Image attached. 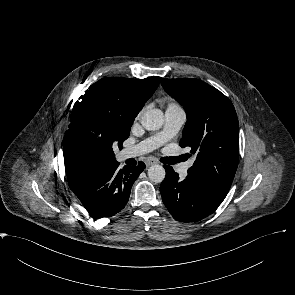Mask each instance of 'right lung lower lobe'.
Instances as JSON below:
<instances>
[{
    "instance_id": "obj_1",
    "label": "right lung lower lobe",
    "mask_w": 295,
    "mask_h": 295,
    "mask_svg": "<svg viewBox=\"0 0 295 295\" xmlns=\"http://www.w3.org/2000/svg\"><path fill=\"white\" fill-rule=\"evenodd\" d=\"M117 161L95 165L88 169L70 189L94 219L111 217L127 204L132 184L145 164L118 169Z\"/></svg>"
}]
</instances>
